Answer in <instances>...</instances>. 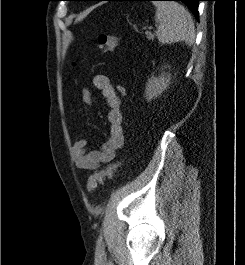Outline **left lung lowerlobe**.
I'll use <instances>...</instances> for the list:
<instances>
[{
  "label": "left lung lower lobe",
  "instance_id": "1",
  "mask_svg": "<svg viewBox=\"0 0 245 265\" xmlns=\"http://www.w3.org/2000/svg\"><path fill=\"white\" fill-rule=\"evenodd\" d=\"M81 1H124V0H81ZM145 1H155V0H145ZM173 1H181L185 3L193 12L195 17L198 19V3L199 1L202 0H173Z\"/></svg>",
  "mask_w": 245,
  "mask_h": 265
}]
</instances>
